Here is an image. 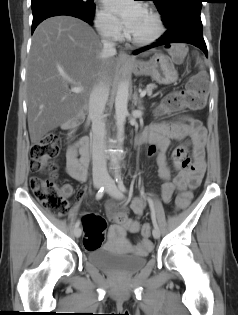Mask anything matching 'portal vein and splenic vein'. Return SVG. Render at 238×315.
<instances>
[{
  "instance_id": "obj_1",
  "label": "portal vein and splenic vein",
  "mask_w": 238,
  "mask_h": 315,
  "mask_svg": "<svg viewBox=\"0 0 238 315\" xmlns=\"http://www.w3.org/2000/svg\"><path fill=\"white\" fill-rule=\"evenodd\" d=\"M71 91H72V92H75V93H81V92L83 91V89H82L81 87H73V88L71 89ZM145 95H146V91H145V90H143V91L140 92V96H141V97H144Z\"/></svg>"
}]
</instances>
